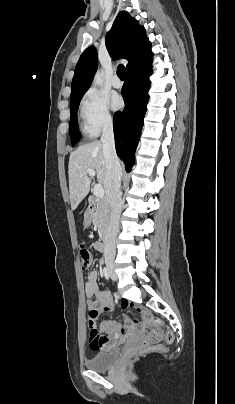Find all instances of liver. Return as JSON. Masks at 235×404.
I'll use <instances>...</instances> for the list:
<instances>
[{
  "instance_id": "liver-1",
  "label": "liver",
  "mask_w": 235,
  "mask_h": 404,
  "mask_svg": "<svg viewBox=\"0 0 235 404\" xmlns=\"http://www.w3.org/2000/svg\"><path fill=\"white\" fill-rule=\"evenodd\" d=\"M87 169L95 171L98 183L104 185L106 192L107 168L103 154V145L100 141L81 145L70 153L68 174L72 210L78 207L90 191L91 179L88 176Z\"/></svg>"
}]
</instances>
